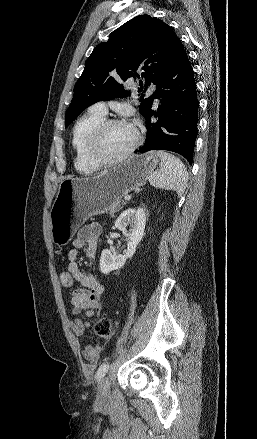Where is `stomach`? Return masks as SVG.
Listing matches in <instances>:
<instances>
[{"label":"stomach","mask_w":257,"mask_h":439,"mask_svg":"<svg viewBox=\"0 0 257 439\" xmlns=\"http://www.w3.org/2000/svg\"><path fill=\"white\" fill-rule=\"evenodd\" d=\"M158 161L156 152L150 151L132 155L97 176L63 180L50 211L53 242L66 245L90 216L105 213L111 204L144 185Z\"/></svg>","instance_id":"obj_1"}]
</instances>
